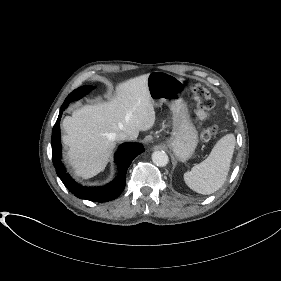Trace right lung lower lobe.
<instances>
[{
    "label": "right lung lower lobe",
    "mask_w": 281,
    "mask_h": 281,
    "mask_svg": "<svg viewBox=\"0 0 281 281\" xmlns=\"http://www.w3.org/2000/svg\"><path fill=\"white\" fill-rule=\"evenodd\" d=\"M70 102L65 101L60 109V114L52 131V160L57 175L62 180L66 188L80 199H86L94 202H106L116 199L124 190L126 183V171L132 160L144 152V148L138 143H124L115 154V162L118 166L116 178L109 184L102 187H85L77 184L66 173L61 162V144H60V118L62 112Z\"/></svg>",
    "instance_id": "98d812e1"
}]
</instances>
